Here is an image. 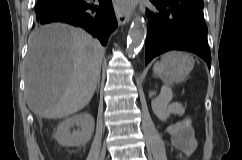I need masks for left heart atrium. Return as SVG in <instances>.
<instances>
[{"mask_svg":"<svg viewBox=\"0 0 242 160\" xmlns=\"http://www.w3.org/2000/svg\"><path fill=\"white\" fill-rule=\"evenodd\" d=\"M134 0H116L118 9L127 11L132 8Z\"/></svg>","mask_w":242,"mask_h":160,"instance_id":"39dd6f15","label":"left heart atrium"}]
</instances>
